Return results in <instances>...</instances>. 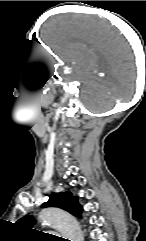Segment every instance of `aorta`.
Returning <instances> with one entry per match:
<instances>
[{
  "label": "aorta",
  "instance_id": "762f6f07",
  "mask_svg": "<svg viewBox=\"0 0 146 241\" xmlns=\"http://www.w3.org/2000/svg\"><path fill=\"white\" fill-rule=\"evenodd\" d=\"M39 219L45 224L54 226L68 240L84 241L81 228L76 219L60 208L48 207L43 209L39 214Z\"/></svg>",
  "mask_w": 146,
  "mask_h": 241
}]
</instances>
